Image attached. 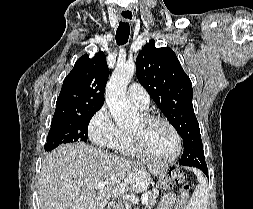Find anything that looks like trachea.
<instances>
[{
	"mask_svg": "<svg viewBox=\"0 0 253 209\" xmlns=\"http://www.w3.org/2000/svg\"><path fill=\"white\" fill-rule=\"evenodd\" d=\"M130 34L129 23L120 22L116 31V42L118 45H124L127 43Z\"/></svg>",
	"mask_w": 253,
	"mask_h": 209,
	"instance_id": "trachea-1",
	"label": "trachea"
}]
</instances>
